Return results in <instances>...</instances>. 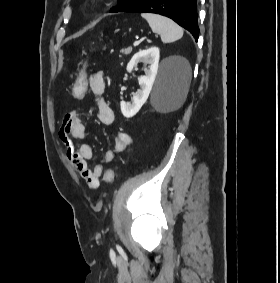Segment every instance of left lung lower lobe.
<instances>
[{
  "label": "left lung lower lobe",
  "instance_id": "left-lung-lower-lobe-1",
  "mask_svg": "<svg viewBox=\"0 0 280 283\" xmlns=\"http://www.w3.org/2000/svg\"><path fill=\"white\" fill-rule=\"evenodd\" d=\"M197 0H137L123 12H148L171 18L198 40Z\"/></svg>",
  "mask_w": 280,
  "mask_h": 283
}]
</instances>
